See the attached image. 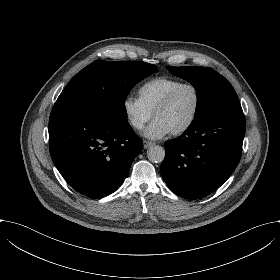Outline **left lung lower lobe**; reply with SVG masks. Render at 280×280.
I'll list each match as a JSON object with an SVG mask.
<instances>
[{"label": "left lung lower lobe", "instance_id": "1", "mask_svg": "<svg viewBox=\"0 0 280 280\" xmlns=\"http://www.w3.org/2000/svg\"><path fill=\"white\" fill-rule=\"evenodd\" d=\"M246 130L241 105L193 121L165 143L161 175L175 194L199 199L219 188L238 165Z\"/></svg>", "mask_w": 280, "mask_h": 280}]
</instances>
